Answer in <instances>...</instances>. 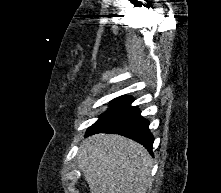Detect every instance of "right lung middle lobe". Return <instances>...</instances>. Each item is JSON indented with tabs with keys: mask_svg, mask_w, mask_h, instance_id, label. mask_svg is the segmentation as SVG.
I'll use <instances>...</instances> for the list:
<instances>
[{
	"mask_svg": "<svg viewBox=\"0 0 221 193\" xmlns=\"http://www.w3.org/2000/svg\"><path fill=\"white\" fill-rule=\"evenodd\" d=\"M132 101H133V98L130 96H120V97L114 99L111 102V106L109 107V109L104 114H102L100 116L99 120L105 118L106 116H108L112 113L119 111L120 109H122L126 105L130 104Z\"/></svg>",
	"mask_w": 221,
	"mask_h": 193,
	"instance_id": "dd1d6c3e",
	"label": "right lung middle lobe"
}]
</instances>
